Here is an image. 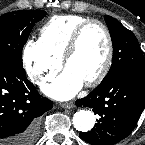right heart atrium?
<instances>
[{"mask_svg":"<svg viewBox=\"0 0 145 145\" xmlns=\"http://www.w3.org/2000/svg\"><path fill=\"white\" fill-rule=\"evenodd\" d=\"M23 63L29 78L43 85L51 81L61 67V60L45 51L39 41H28L23 48Z\"/></svg>","mask_w":145,"mask_h":145,"instance_id":"d8ad5b80","label":"right heart atrium"}]
</instances>
